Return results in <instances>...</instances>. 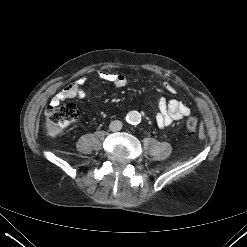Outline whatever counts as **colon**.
<instances>
[{
    "label": "colon",
    "mask_w": 247,
    "mask_h": 247,
    "mask_svg": "<svg viewBox=\"0 0 247 247\" xmlns=\"http://www.w3.org/2000/svg\"><path fill=\"white\" fill-rule=\"evenodd\" d=\"M77 117L78 111L74 104L51 103L45 111V131L49 136H57ZM197 127L198 118L193 115L190 116L186 121V130L192 134Z\"/></svg>",
    "instance_id": "obj_1"
}]
</instances>
